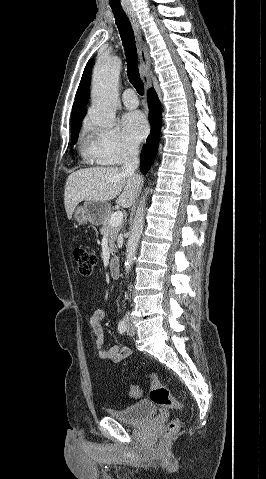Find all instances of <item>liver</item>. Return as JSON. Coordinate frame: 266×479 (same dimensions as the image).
<instances>
[{"label": "liver", "mask_w": 266, "mask_h": 479, "mask_svg": "<svg viewBox=\"0 0 266 479\" xmlns=\"http://www.w3.org/2000/svg\"><path fill=\"white\" fill-rule=\"evenodd\" d=\"M143 179L126 174L119 167H93L71 173L66 181L64 205L68 219L81 201L117 198V204L129 208L137 199Z\"/></svg>", "instance_id": "obj_1"}]
</instances>
